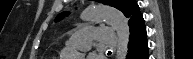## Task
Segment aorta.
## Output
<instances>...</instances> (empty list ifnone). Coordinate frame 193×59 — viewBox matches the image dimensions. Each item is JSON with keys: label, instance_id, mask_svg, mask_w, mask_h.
Instances as JSON below:
<instances>
[{"label": "aorta", "instance_id": "aorta-1", "mask_svg": "<svg viewBox=\"0 0 193 59\" xmlns=\"http://www.w3.org/2000/svg\"><path fill=\"white\" fill-rule=\"evenodd\" d=\"M81 19L90 22L104 20L111 25L115 29L118 37L116 58H126L130 29L127 18L120 11L101 5H89L82 11ZM62 55L64 59H84V55L76 51L65 50Z\"/></svg>", "mask_w": 193, "mask_h": 59}]
</instances>
